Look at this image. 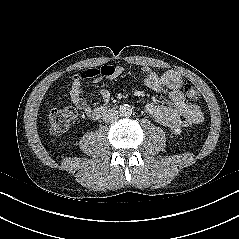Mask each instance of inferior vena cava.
Returning a JSON list of instances; mask_svg holds the SVG:
<instances>
[{
	"instance_id": "602c4592",
	"label": "inferior vena cava",
	"mask_w": 239,
	"mask_h": 239,
	"mask_svg": "<svg viewBox=\"0 0 239 239\" xmlns=\"http://www.w3.org/2000/svg\"><path fill=\"white\" fill-rule=\"evenodd\" d=\"M119 118V113L117 110H108L103 115V121L105 123H112L116 121Z\"/></svg>"
}]
</instances>
